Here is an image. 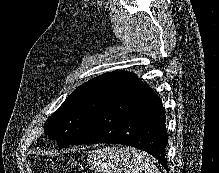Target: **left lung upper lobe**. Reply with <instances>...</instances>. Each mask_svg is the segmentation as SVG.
Segmentation results:
<instances>
[{
  "mask_svg": "<svg viewBox=\"0 0 219 173\" xmlns=\"http://www.w3.org/2000/svg\"><path fill=\"white\" fill-rule=\"evenodd\" d=\"M136 79L133 73L116 71L82 84L47 119L45 133L57 140L60 148L72 144L95 115Z\"/></svg>",
  "mask_w": 219,
  "mask_h": 173,
  "instance_id": "1",
  "label": "left lung upper lobe"
}]
</instances>
